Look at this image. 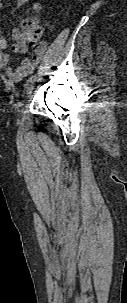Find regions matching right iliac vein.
Returning a JSON list of instances; mask_svg holds the SVG:
<instances>
[{"mask_svg": "<svg viewBox=\"0 0 127 303\" xmlns=\"http://www.w3.org/2000/svg\"><path fill=\"white\" fill-rule=\"evenodd\" d=\"M33 88H34L33 84L27 88V90H26V96H29L32 93Z\"/></svg>", "mask_w": 127, "mask_h": 303, "instance_id": "63e3f726", "label": "right iliac vein"}]
</instances>
